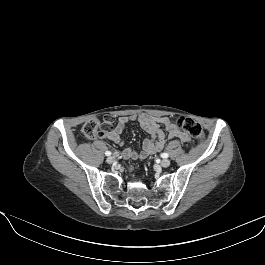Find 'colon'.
Here are the masks:
<instances>
[{"instance_id": "5ec220e1", "label": "colon", "mask_w": 265, "mask_h": 265, "mask_svg": "<svg viewBox=\"0 0 265 265\" xmlns=\"http://www.w3.org/2000/svg\"><path fill=\"white\" fill-rule=\"evenodd\" d=\"M112 124V117L106 116L102 121L92 119L86 122L82 130L84 135L87 137H102L110 131ZM175 125L186 131L198 143H203L205 141V133L202 127L195 120L188 117H179L175 120Z\"/></svg>"}]
</instances>
